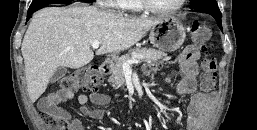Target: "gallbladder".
<instances>
[{
  "label": "gallbladder",
  "instance_id": "obj_1",
  "mask_svg": "<svg viewBox=\"0 0 257 130\" xmlns=\"http://www.w3.org/2000/svg\"><path fill=\"white\" fill-rule=\"evenodd\" d=\"M68 72L67 68L65 67H59L57 68V70L53 73L50 82L51 83H55L58 80H60L62 77H64L66 75V73Z\"/></svg>",
  "mask_w": 257,
  "mask_h": 130
}]
</instances>
